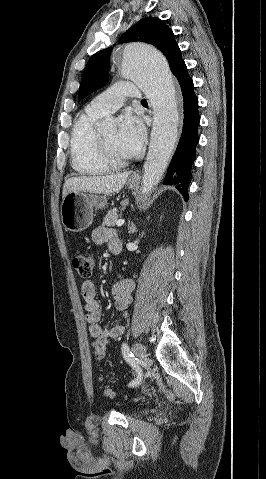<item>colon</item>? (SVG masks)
<instances>
[{"label":"colon","mask_w":266,"mask_h":479,"mask_svg":"<svg viewBox=\"0 0 266 479\" xmlns=\"http://www.w3.org/2000/svg\"><path fill=\"white\" fill-rule=\"evenodd\" d=\"M72 265L79 276L87 278L92 274L95 259L90 254L75 251L72 255ZM92 350L97 359H103L107 351V340L102 338L96 339L92 344ZM105 394L110 398L114 397V393L110 390H106Z\"/></svg>","instance_id":"colon-1"}]
</instances>
